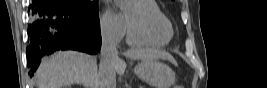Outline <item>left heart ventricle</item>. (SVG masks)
<instances>
[{"label": "left heart ventricle", "mask_w": 267, "mask_h": 88, "mask_svg": "<svg viewBox=\"0 0 267 88\" xmlns=\"http://www.w3.org/2000/svg\"><path fill=\"white\" fill-rule=\"evenodd\" d=\"M126 12L133 18L135 19H140L141 15L139 13H137V11L133 8L132 5L128 6V8L126 9Z\"/></svg>", "instance_id": "left-heart-ventricle-1"}]
</instances>
